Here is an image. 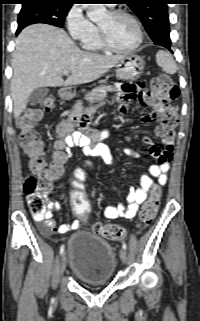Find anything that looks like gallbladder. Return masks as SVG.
I'll list each match as a JSON object with an SVG mask.
<instances>
[{
  "mask_svg": "<svg viewBox=\"0 0 200 321\" xmlns=\"http://www.w3.org/2000/svg\"><path fill=\"white\" fill-rule=\"evenodd\" d=\"M49 89L47 87H39L35 89L29 96L28 102L31 106L39 104L45 96L48 94Z\"/></svg>",
  "mask_w": 200,
  "mask_h": 321,
  "instance_id": "gallbladder-1",
  "label": "gallbladder"
}]
</instances>
